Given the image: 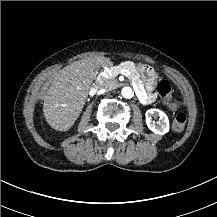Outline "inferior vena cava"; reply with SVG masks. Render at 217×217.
Masks as SVG:
<instances>
[{
    "instance_id": "1",
    "label": "inferior vena cava",
    "mask_w": 217,
    "mask_h": 217,
    "mask_svg": "<svg viewBox=\"0 0 217 217\" xmlns=\"http://www.w3.org/2000/svg\"><path fill=\"white\" fill-rule=\"evenodd\" d=\"M95 88L96 89H102L103 87L98 84Z\"/></svg>"
}]
</instances>
